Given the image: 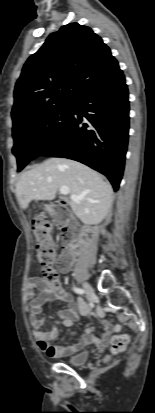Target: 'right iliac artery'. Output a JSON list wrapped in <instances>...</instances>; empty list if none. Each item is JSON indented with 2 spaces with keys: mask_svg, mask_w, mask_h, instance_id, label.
Wrapping results in <instances>:
<instances>
[{
  "mask_svg": "<svg viewBox=\"0 0 155 413\" xmlns=\"http://www.w3.org/2000/svg\"><path fill=\"white\" fill-rule=\"evenodd\" d=\"M73 291L77 294H80V295L85 293L84 289H81V288H78V287H73Z\"/></svg>",
  "mask_w": 155,
  "mask_h": 413,
  "instance_id": "82829eb1",
  "label": "right iliac artery"
}]
</instances>
